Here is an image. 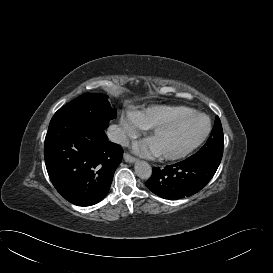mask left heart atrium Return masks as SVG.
<instances>
[{"instance_id": "39dd6f15", "label": "left heart atrium", "mask_w": 273, "mask_h": 273, "mask_svg": "<svg viewBox=\"0 0 273 273\" xmlns=\"http://www.w3.org/2000/svg\"><path fill=\"white\" fill-rule=\"evenodd\" d=\"M141 151L145 152L146 155H149V154H153L154 155V154H156L155 150L152 147H149L146 144L142 145Z\"/></svg>"}]
</instances>
